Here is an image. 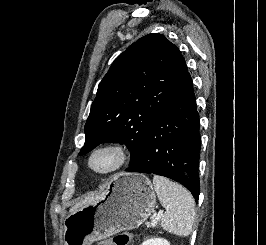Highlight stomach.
Here are the masks:
<instances>
[{"label":"stomach","mask_w":266,"mask_h":245,"mask_svg":"<svg viewBox=\"0 0 266 245\" xmlns=\"http://www.w3.org/2000/svg\"><path fill=\"white\" fill-rule=\"evenodd\" d=\"M154 187L145 175L117 173L104 197L64 221V245H91L120 231L138 229L154 211Z\"/></svg>","instance_id":"obj_1"}]
</instances>
